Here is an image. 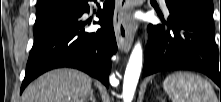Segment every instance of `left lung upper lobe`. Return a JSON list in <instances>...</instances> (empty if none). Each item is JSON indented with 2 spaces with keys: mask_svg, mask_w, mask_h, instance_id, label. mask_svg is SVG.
<instances>
[{
  "mask_svg": "<svg viewBox=\"0 0 221 102\" xmlns=\"http://www.w3.org/2000/svg\"><path fill=\"white\" fill-rule=\"evenodd\" d=\"M170 3L187 7L208 21L213 22L212 0H167Z\"/></svg>",
  "mask_w": 221,
  "mask_h": 102,
  "instance_id": "5c2ea615",
  "label": "left lung upper lobe"
}]
</instances>
